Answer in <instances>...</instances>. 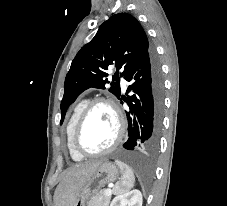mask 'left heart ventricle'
Masks as SVG:
<instances>
[{
	"mask_svg": "<svg viewBox=\"0 0 227 206\" xmlns=\"http://www.w3.org/2000/svg\"><path fill=\"white\" fill-rule=\"evenodd\" d=\"M117 135V122L112 109L98 105L89 113L79 136L82 148L101 151L112 144Z\"/></svg>",
	"mask_w": 227,
	"mask_h": 206,
	"instance_id": "obj_1",
	"label": "left heart ventricle"
}]
</instances>
